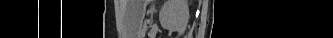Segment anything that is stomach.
I'll return each mask as SVG.
<instances>
[{
  "mask_svg": "<svg viewBox=\"0 0 333 38\" xmlns=\"http://www.w3.org/2000/svg\"><path fill=\"white\" fill-rule=\"evenodd\" d=\"M145 0L136 1V5L138 8V27L141 28L145 16V8H144Z\"/></svg>",
  "mask_w": 333,
  "mask_h": 38,
  "instance_id": "1",
  "label": "stomach"
}]
</instances>
